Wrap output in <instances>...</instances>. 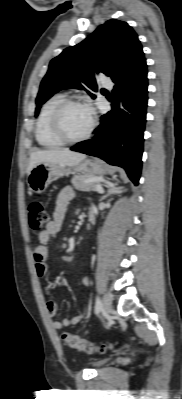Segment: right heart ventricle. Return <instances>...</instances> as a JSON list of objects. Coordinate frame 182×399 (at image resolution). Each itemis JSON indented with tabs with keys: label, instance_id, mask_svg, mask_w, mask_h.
Returning a JSON list of instances; mask_svg holds the SVG:
<instances>
[{
	"label": "right heart ventricle",
	"instance_id": "obj_1",
	"mask_svg": "<svg viewBox=\"0 0 182 399\" xmlns=\"http://www.w3.org/2000/svg\"><path fill=\"white\" fill-rule=\"evenodd\" d=\"M65 99L63 94H55L43 105L36 122L35 136L37 142L45 148H57L63 143L54 135L51 128V117L54 109Z\"/></svg>",
	"mask_w": 182,
	"mask_h": 399
}]
</instances>
